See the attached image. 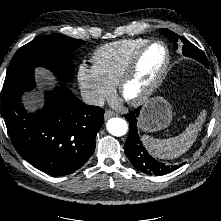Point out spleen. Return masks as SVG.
Instances as JSON below:
<instances>
[{"label": "spleen", "instance_id": "spleen-1", "mask_svg": "<svg viewBox=\"0 0 221 221\" xmlns=\"http://www.w3.org/2000/svg\"><path fill=\"white\" fill-rule=\"evenodd\" d=\"M206 119V112L202 111L195 123L189 124L185 131L178 136L167 139H156L144 135L142 141L152 156L159 159H173L185 153L196 141L199 131Z\"/></svg>", "mask_w": 221, "mask_h": 221}]
</instances>
